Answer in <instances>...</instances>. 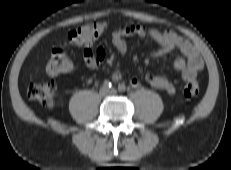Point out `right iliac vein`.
Masks as SVG:
<instances>
[{
	"label": "right iliac vein",
	"mask_w": 231,
	"mask_h": 170,
	"mask_svg": "<svg viewBox=\"0 0 231 170\" xmlns=\"http://www.w3.org/2000/svg\"><path fill=\"white\" fill-rule=\"evenodd\" d=\"M107 93H108L107 88H105V87L101 88L100 95L105 96V95H107Z\"/></svg>",
	"instance_id": "right-iliac-vein-1"
}]
</instances>
